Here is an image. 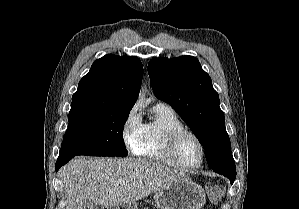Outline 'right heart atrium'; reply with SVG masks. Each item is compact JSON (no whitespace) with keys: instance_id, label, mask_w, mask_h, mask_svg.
<instances>
[{"instance_id":"obj_1","label":"right heart atrium","mask_w":299,"mask_h":209,"mask_svg":"<svg viewBox=\"0 0 299 209\" xmlns=\"http://www.w3.org/2000/svg\"><path fill=\"white\" fill-rule=\"evenodd\" d=\"M141 120L136 107L130 109L125 116L121 128V137L128 150L135 151L140 137Z\"/></svg>"}]
</instances>
